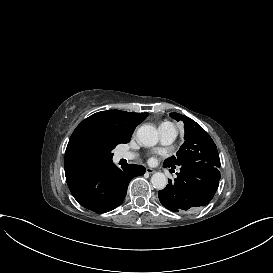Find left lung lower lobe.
Listing matches in <instances>:
<instances>
[{
	"label": "left lung lower lobe",
	"instance_id": "left-lung-lower-lobe-1",
	"mask_svg": "<svg viewBox=\"0 0 273 273\" xmlns=\"http://www.w3.org/2000/svg\"><path fill=\"white\" fill-rule=\"evenodd\" d=\"M219 180L218 167L205 162L186 163L181 165L174 182L169 180V184L158 192V197L161 204L173 212L205 206L213 198Z\"/></svg>",
	"mask_w": 273,
	"mask_h": 273
}]
</instances>
